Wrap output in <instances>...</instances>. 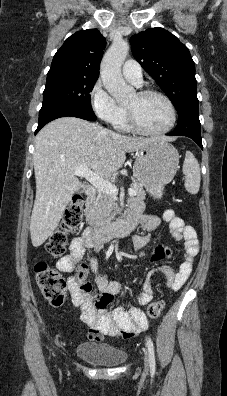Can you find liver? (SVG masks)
<instances>
[{
	"instance_id": "obj_1",
	"label": "liver",
	"mask_w": 227,
	"mask_h": 396,
	"mask_svg": "<svg viewBox=\"0 0 227 396\" xmlns=\"http://www.w3.org/2000/svg\"><path fill=\"white\" fill-rule=\"evenodd\" d=\"M171 138H132L76 117H62L47 124L35 138L33 155L36 198L30 221L34 247L41 246L57 228L64 209L81 187L74 175L80 165L101 178H109L126 160L155 141Z\"/></svg>"
}]
</instances>
